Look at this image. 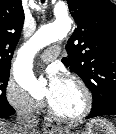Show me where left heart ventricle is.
<instances>
[{
    "label": "left heart ventricle",
    "mask_w": 116,
    "mask_h": 134,
    "mask_svg": "<svg viewBox=\"0 0 116 134\" xmlns=\"http://www.w3.org/2000/svg\"><path fill=\"white\" fill-rule=\"evenodd\" d=\"M50 104L57 112L66 116H73L81 111L83 97L74 85L64 81L60 94Z\"/></svg>",
    "instance_id": "left-heart-ventricle-1"
}]
</instances>
